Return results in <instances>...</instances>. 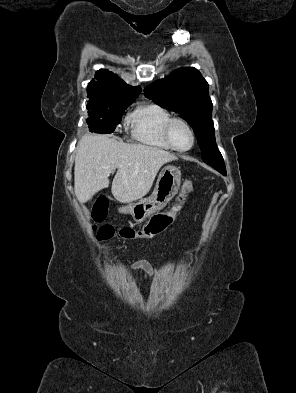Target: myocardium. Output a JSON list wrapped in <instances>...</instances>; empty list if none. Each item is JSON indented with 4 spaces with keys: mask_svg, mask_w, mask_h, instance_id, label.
<instances>
[{
    "mask_svg": "<svg viewBox=\"0 0 296 393\" xmlns=\"http://www.w3.org/2000/svg\"><path fill=\"white\" fill-rule=\"evenodd\" d=\"M175 123L184 124L188 128V130L190 131V134L192 137V142L188 148L181 149L174 144V142L172 140V136H171V131H172V127L174 126ZM164 137H165L166 142L170 145V147L178 152H187V151L191 150L194 147L195 142H196V134H195V131H194L192 125L186 119L181 118V117H172L166 123L165 128H164Z\"/></svg>",
    "mask_w": 296,
    "mask_h": 393,
    "instance_id": "obj_1",
    "label": "myocardium"
}]
</instances>
